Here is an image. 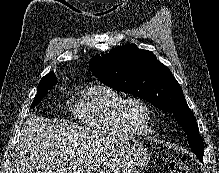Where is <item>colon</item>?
I'll return each mask as SVG.
<instances>
[{
    "mask_svg": "<svg viewBox=\"0 0 219 173\" xmlns=\"http://www.w3.org/2000/svg\"><path fill=\"white\" fill-rule=\"evenodd\" d=\"M170 173H188L189 167L182 159H172L169 163Z\"/></svg>",
    "mask_w": 219,
    "mask_h": 173,
    "instance_id": "5ec220e1",
    "label": "colon"
}]
</instances>
